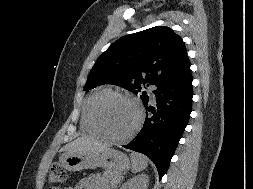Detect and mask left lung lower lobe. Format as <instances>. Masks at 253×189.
<instances>
[{
    "label": "left lung lower lobe",
    "instance_id": "0a47b994",
    "mask_svg": "<svg viewBox=\"0 0 253 189\" xmlns=\"http://www.w3.org/2000/svg\"><path fill=\"white\" fill-rule=\"evenodd\" d=\"M192 75L188 57L177 73L155 93L156 107L150 111L139 135L124 147L147 155L156 165L160 179L167 171L192 110Z\"/></svg>",
    "mask_w": 253,
    "mask_h": 189
}]
</instances>
